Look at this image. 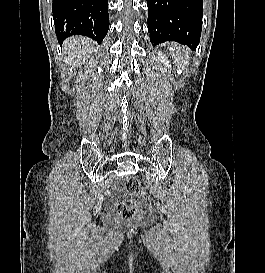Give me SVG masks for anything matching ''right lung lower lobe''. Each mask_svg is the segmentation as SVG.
<instances>
[{
    "instance_id": "98d812e1",
    "label": "right lung lower lobe",
    "mask_w": 265,
    "mask_h": 273,
    "mask_svg": "<svg viewBox=\"0 0 265 273\" xmlns=\"http://www.w3.org/2000/svg\"><path fill=\"white\" fill-rule=\"evenodd\" d=\"M52 11L59 43L84 35L100 44L108 32L107 0H54Z\"/></svg>"
}]
</instances>
